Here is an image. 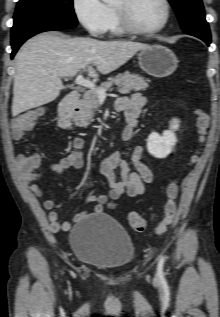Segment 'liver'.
<instances>
[{
  "label": "liver",
  "instance_id": "1",
  "mask_svg": "<svg viewBox=\"0 0 220 317\" xmlns=\"http://www.w3.org/2000/svg\"><path fill=\"white\" fill-rule=\"evenodd\" d=\"M148 45L132 41H100L42 33L28 40L15 56L12 116L55 100L61 78L86 69L90 77L108 74ZM96 67V69L93 68Z\"/></svg>",
  "mask_w": 220,
  "mask_h": 317
}]
</instances>
